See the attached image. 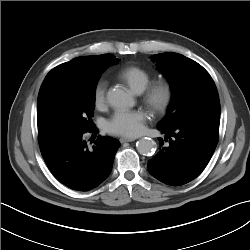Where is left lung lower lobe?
<instances>
[{
    "label": "left lung lower lobe",
    "instance_id": "1",
    "mask_svg": "<svg viewBox=\"0 0 250 250\" xmlns=\"http://www.w3.org/2000/svg\"><path fill=\"white\" fill-rule=\"evenodd\" d=\"M220 117L187 122L176 129L158 127V154L148 161V171L159 181L179 186L195 179L206 167L219 139ZM167 142V143H165Z\"/></svg>",
    "mask_w": 250,
    "mask_h": 250
}]
</instances>
